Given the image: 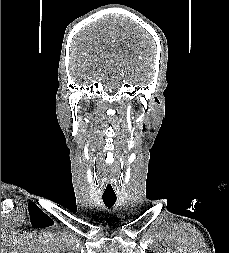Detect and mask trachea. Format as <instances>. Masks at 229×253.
I'll list each match as a JSON object with an SVG mask.
<instances>
[{"label": "trachea", "instance_id": "3493384b", "mask_svg": "<svg viewBox=\"0 0 229 253\" xmlns=\"http://www.w3.org/2000/svg\"><path fill=\"white\" fill-rule=\"evenodd\" d=\"M116 199V197H103V202L108 208H111L115 204Z\"/></svg>", "mask_w": 229, "mask_h": 253}]
</instances>
